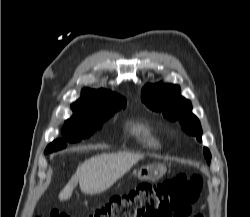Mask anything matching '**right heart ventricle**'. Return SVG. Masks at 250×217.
<instances>
[{
	"mask_svg": "<svg viewBox=\"0 0 250 217\" xmlns=\"http://www.w3.org/2000/svg\"><path fill=\"white\" fill-rule=\"evenodd\" d=\"M130 132L143 147L149 149H158L160 147L158 137L148 124L135 122L130 126Z\"/></svg>",
	"mask_w": 250,
	"mask_h": 217,
	"instance_id": "e07e8e85",
	"label": "right heart ventricle"
}]
</instances>
